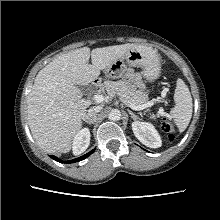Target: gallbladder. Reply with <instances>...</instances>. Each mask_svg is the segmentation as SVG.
<instances>
[{
    "mask_svg": "<svg viewBox=\"0 0 220 220\" xmlns=\"http://www.w3.org/2000/svg\"><path fill=\"white\" fill-rule=\"evenodd\" d=\"M77 88H78L81 92H85V90H87V86L78 85Z\"/></svg>",
    "mask_w": 220,
    "mask_h": 220,
    "instance_id": "gallbladder-1",
    "label": "gallbladder"
}]
</instances>
